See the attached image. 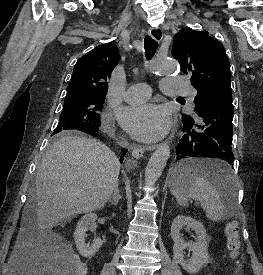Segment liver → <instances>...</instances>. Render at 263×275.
Listing matches in <instances>:
<instances>
[{
  "instance_id": "1",
  "label": "liver",
  "mask_w": 263,
  "mask_h": 275,
  "mask_svg": "<svg viewBox=\"0 0 263 275\" xmlns=\"http://www.w3.org/2000/svg\"><path fill=\"white\" fill-rule=\"evenodd\" d=\"M119 173V159L103 143L78 135L62 136L47 151L38 169V225L52 227L74 215L103 208L114 192Z\"/></svg>"
}]
</instances>
